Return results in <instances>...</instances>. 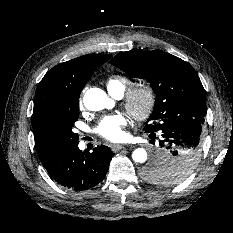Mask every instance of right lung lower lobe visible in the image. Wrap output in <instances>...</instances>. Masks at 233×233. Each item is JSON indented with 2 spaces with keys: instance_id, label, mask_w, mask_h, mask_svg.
Wrapping results in <instances>:
<instances>
[{
  "instance_id": "1",
  "label": "right lung lower lobe",
  "mask_w": 233,
  "mask_h": 233,
  "mask_svg": "<svg viewBox=\"0 0 233 233\" xmlns=\"http://www.w3.org/2000/svg\"><path fill=\"white\" fill-rule=\"evenodd\" d=\"M114 153L101 145L92 152H82L78 144L52 153L38 154L50 176L61 186L83 191L100 183Z\"/></svg>"
}]
</instances>
